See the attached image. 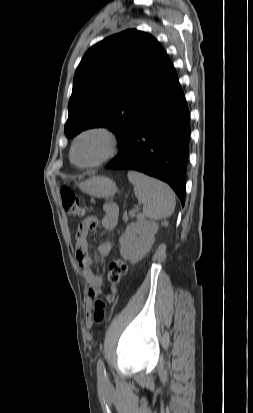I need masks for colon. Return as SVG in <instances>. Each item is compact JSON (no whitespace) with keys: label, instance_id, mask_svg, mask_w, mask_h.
I'll use <instances>...</instances> for the list:
<instances>
[{"label":"colon","instance_id":"obj_1","mask_svg":"<svg viewBox=\"0 0 253 413\" xmlns=\"http://www.w3.org/2000/svg\"><path fill=\"white\" fill-rule=\"evenodd\" d=\"M61 199L64 209L68 214L75 217H80L84 214L82 205L76 196V194L68 187L61 188ZM127 272V264L122 259H116L111 262L109 271L107 274L108 282L114 280L116 285L122 280ZM108 297V296H107ZM96 298L94 307L90 313V317L95 322H101L104 320L106 312L105 299L107 298Z\"/></svg>","mask_w":253,"mask_h":413}]
</instances>
